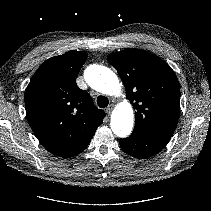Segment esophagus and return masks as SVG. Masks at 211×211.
Here are the masks:
<instances>
[{
    "mask_svg": "<svg viewBox=\"0 0 211 211\" xmlns=\"http://www.w3.org/2000/svg\"><path fill=\"white\" fill-rule=\"evenodd\" d=\"M112 110H113V105H110L109 107L106 108V113H107L108 115H110L111 112H112Z\"/></svg>",
    "mask_w": 211,
    "mask_h": 211,
    "instance_id": "1",
    "label": "esophagus"
}]
</instances>
